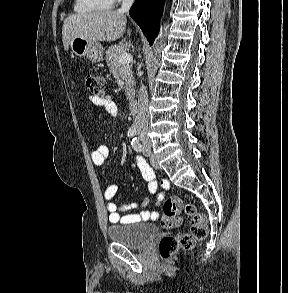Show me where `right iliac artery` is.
<instances>
[{
  "label": "right iliac artery",
  "instance_id": "right-iliac-artery-1",
  "mask_svg": "<svg viewBox=\"0 0 288 293\" xmlns=\"http://www.w3.org/2000/svg\"><path fill=\"white\" fill-rule=\"evenodd\" d=\"M136 134V128L135 127H131L128 130V136L129 137H133Z\"/></svg>",
  "mask_w": 288,
  "mask_h": 293
}]
</instances>
